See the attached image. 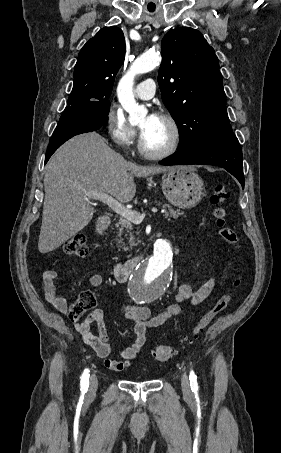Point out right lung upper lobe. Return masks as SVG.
<instances>
[{"mask_svg":"<svg viewBox=\"0 0 281 453\" xmlns=\"http://www.w3.org/2000/svg\"><path fill=\"white\" fill-rule=\"evenodd\" d=\"M124 57L125 39L122 30L116 26L101 29L78 55L68 106L110 103L108 98Z\"/></svg>","mask_w":281,"mask_h":453,"instance_id":"right-lung-upper-lobe-1","label":"right lung upper lobe"}]
</instances>
